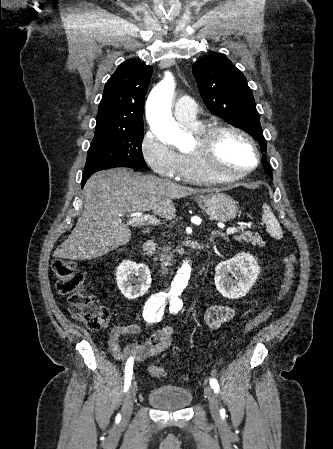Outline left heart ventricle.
I'll return each mask as SVG.
<instances>
[{"label": "left heart ventricle", "mask_w": 333, "mask_h": 449, "mask_svg": "<svg viewBox=\"0 0 333 449\" xmlns=\"http://www.w3.org/2000/svg\"><path fill=\"white\" fill-rule=\"evenodd\" d=\"M254 162V151L246 140L232 133L221 137L214 162L218 170L236 174L243 172Z\"/></svg>", "instance_id": "1"}]
</instances>
